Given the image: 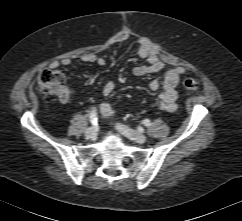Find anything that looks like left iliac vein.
<instances>
[{
    "mask_svg": "<svg viewBox=\"0 0 242 221\" xmlns=\"http://www.w3.org/2000/svg\"><path fill=\"white\" fill-rule=\"evenodd\" d=\"M116 129L122 135L137 143H145L147 141V137L144 134L136 132L123 124H116Z\"/></svg>",
    "mask_w": 242,
    "mask_h": 221,
    "instance_id": "1",
    "label": "left iliac vein"
}]
</instances>
